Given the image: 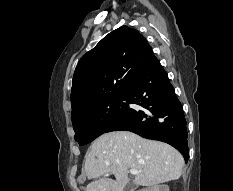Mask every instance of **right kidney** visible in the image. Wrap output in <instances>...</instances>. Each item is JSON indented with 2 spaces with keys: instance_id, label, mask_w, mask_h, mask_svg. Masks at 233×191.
<instances>
[{
  "instance_id": "1",
  "label": "right kidney",
  "mask_w": 233,
  "mask_h": 191,
  "mask_svg": "<svg viewBox=\"0 0 233 191\" xmlns=\"http://www.w3.org/2000/svg\"><path fill=\"white\" fill-rule=\"evenodd\" d=\"M147 191H169V187L167 185H156Z\"/></svg>"
}]
</instances>
